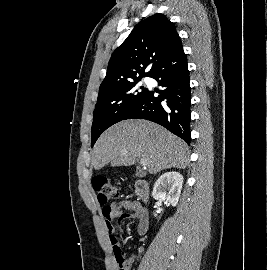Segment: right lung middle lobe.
<instances>
[{"label":"right lung middle lobe","instance_id":"dd1d6c3e","mask_svg":"<svg viewBox=\"0 0 267 270\" xmlns=\"http://www.w3.org/2000/svg\"><path fill=\"white\" fill-rule=\"evenodd\" d=\"M140 80L135 79L99 91L91 129V146L107 128L123 120L146 95L147 88L136 86Z\"/></svg>","mask_w":267,"mask_h":270}]
</instances>
